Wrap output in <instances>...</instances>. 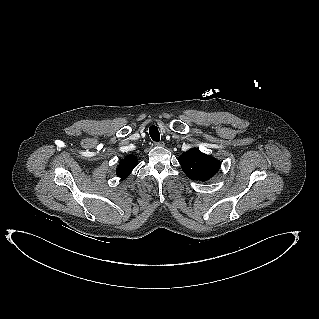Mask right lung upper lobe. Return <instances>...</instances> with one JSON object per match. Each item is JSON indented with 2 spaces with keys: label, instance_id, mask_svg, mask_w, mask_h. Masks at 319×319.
<instances>
[{
  "label": "right lung upper lobe",
  "instance_id": "right-lung-upper-lobe-1",
  "mask_svg": "<svg viewBox=\"0 0 319 319\" xmlns=\"http://www.w3.org/2000/svg\"><path fill=\"white\" fill-rule=\"evenodd\" d=\"M138 164L135 156H127L125 159L121 160L117 168V176L121 178H126Z\"/></svg>",
  "mask_w": 319,
  "mask_h": 319
}]
</instances>
